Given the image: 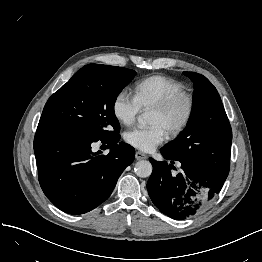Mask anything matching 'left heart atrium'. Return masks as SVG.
<instances>
[{
  "label": "left heart atrium",
  "mask_w": 262,
  "mask_h": 262,
  "mask_svg": "<svg viewBox=\"0 0 262 262\" xmlns=\"http://www.w3.org/2000/svg\"><path fill=\"white\" fill-rule=\"evenodd\" d=\"M167 134V130L161 124H153L148 127L130 128L124 133V139L139 150L151 151L164 142Z\"/></svg>",
  "instance_id": "obj_1"
}]
</instances>
